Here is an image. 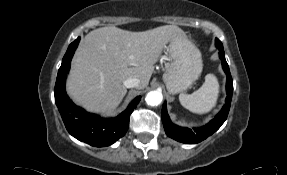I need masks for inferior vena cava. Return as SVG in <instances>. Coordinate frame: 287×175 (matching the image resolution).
I'll return each mask as SVG.
<instances>
[{"mask_svg":"<svg viewBox=\"0 0 287 175\" xmlns=\"http://www.w3.org/2000/svg\"><path fill=\"white\" fill-rule=\"evenodd\" d=\"M140 80L137 78H128L124 81V86L126 88H133V87H139Z\"/></svg>","mask_w":287,"mask_h":175,"instance_id":"obj_1","label":"inferior vena cava"}]
</instances>
